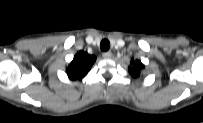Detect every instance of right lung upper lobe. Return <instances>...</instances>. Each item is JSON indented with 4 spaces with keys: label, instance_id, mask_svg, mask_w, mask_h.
<instances>
[{
    "label": "right lung upper lobe",
    "instance_id": "right-lung-upper-lobe-1",
    "mask_svg": "<svg viewBox=\"0 0 203 123\" xmlns=\"http://www.w3.org/2000/svg\"><path fill=\"white\" fill-rule=\"evenodd\" d=\"M96 61L94 55H89L86 52L79 51L70 65L66 68L67 75L71 80L82 79L91 69V66Z\"/></svg>",
    "mask_w": 203,
    "mask_h": 123
}]
</instances>
